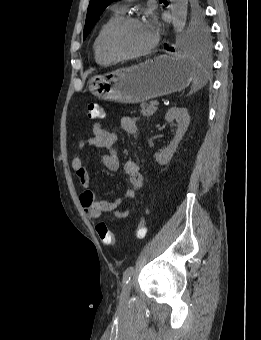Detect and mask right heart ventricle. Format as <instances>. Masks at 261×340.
<instances>
[{
	"label": "right heart ventricle",
	"instance_id": "1",
	"mask_svg": "<svg viewBox=\"0 0 261 340\" xmlns=\"http://www.w3.org/2000/svg\"><path fill=\"white\" fill-rule=\"evenodd\" d=\"M120 18L121 13L118 11L112 12L105 21L100 25L93 41V53L96 63L102 66H108L116 62L115 59L109 57L103 49V38L107 30Z\"/></svg>",
	"mask_w": 261,
	"mask_h": 340
}]
</instances>
